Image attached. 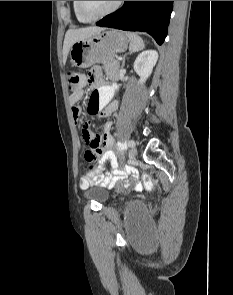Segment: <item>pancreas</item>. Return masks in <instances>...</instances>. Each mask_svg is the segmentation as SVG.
I'll list each match as a JSON object with an SVG mask.
<instances>
[{"label":"pancreas","mask_w":233,"mask_h":295,"mask_svg":"<svg viewBox=\"0 0 233 295\" xmlns=\"http://www.w3.org/2000/svg\"><path fill=\"white\" fill-rule=\"evenodd\" d=\"M103 69L105 70L109 78L114 80H118L120 78V75H119L120 64L118 60H112L108 63H104Z\"/></svg>","instance_id":"cf45deb5"}]
</instances>
